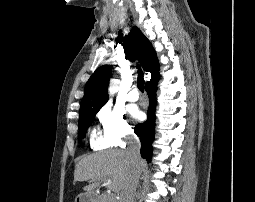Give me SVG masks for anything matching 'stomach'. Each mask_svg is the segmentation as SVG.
<instances>
[{"label":"stomach","instance_id":"stomach-1","mask_svg":"<svg viewBox=\"0 0 255 202\" xmlns=\"http://www.w3.org/2000/svg\"><path fill=\"white\" fill-rule=\"evenodd\" d=\"M75 202H97L95 197L89 193L80 194L76 197Z\"/></svg>","mask_w":255,"mask_h":202}]
</instances>
